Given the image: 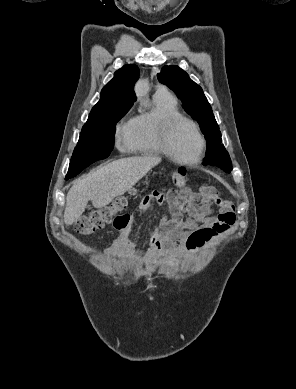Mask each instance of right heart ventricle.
I'll return each mask as SVG.
<instances>
[{"instance_id": "right-heart-ventricle-1", "label": "right heart ventricle", "mask_w": 296, "mask_h": 389, "mask_svg": "<svg viewBox=\"0 0 296 389\" xmlns=\"http://www.w3.org/2000/svg\"><path fill=\"white\" fill-rule=\"evenodd\" d=\"M176 114H180L177 99L168 92L156 93L154 108L128 121V150L143 155H162L159 142L161 123L166 117Z\"/></svg>"}]
</instances>
